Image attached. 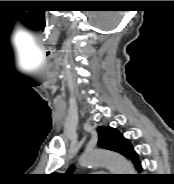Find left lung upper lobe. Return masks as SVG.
I'll return each mask as SVG.
<instances>
[{"instance_id": "5c2ea615", "label": "left lung upper lobe", "mask_w": 174, "mask_h": 184, "mask_svg": "<svg viewBox=\"0 0 174 184\" xmlns=\"http://www.w3.org/2000/svg\"><path fill=\"white\" fill-rule=\"evenodd\" d=\"M98 136V145L102 148L116 151L125 155L128 149L131 147L129 141L120 136L118 131L111 127H98ZM73 170L74 167L69 168L64 176L73 178L74 175L71 174Z\"/></svg>"}]
</instances>
